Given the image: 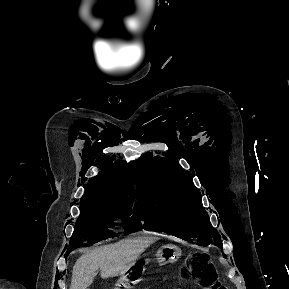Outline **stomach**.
I'll use <instances>...</instances> for the list:
<instances>
[{
	"label": "stomach",
	"instance_id": "obj_1",
	"mask_svg": "<svg viewBox=\"0 0 289 289\" xmlns=\"http://www.w3.org/2000/svg\"><path fill=\"white\" fill-rule=\"evenodd\" d=\"M181 256V250L173 244H167L162 246L156 254L157 261L160 264L172 263L178 260ZM139 258L136 260L134 265L118 280L115 289H130L136 281L143 275L146 271L145 263L138 262Z\"/></svg>",
	"mask_w": 289,
	"mask_h": 289
}]
</instances>
